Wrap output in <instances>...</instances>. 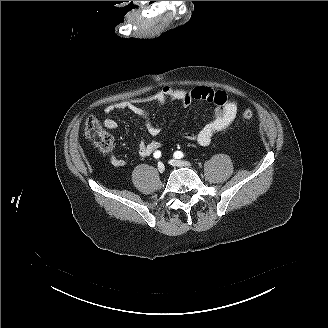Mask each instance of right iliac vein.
<instances>
[{"mask_svg": "<svg viewBox=\"0 0 328 328\" xmlns=\"http://www.w3.org/2000/svg\"><path fill=\"white\" fill-rule=\"evenodd\" d=\"M158 171L160 172V173H163L164 171H165V166H164V164L163 163H158Z\"/></svg>", "mask_w": 328, "mask_h": 328, "instance_id": "63e3f726", "label": "right iliac vein"}]
</instances>
